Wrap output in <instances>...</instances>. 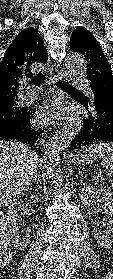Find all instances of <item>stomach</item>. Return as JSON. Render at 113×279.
Instances as JSON below:
<instances>
[{"label":"stomach","instance_id":"0dacf381","mask_svg":"<svg viewBox=\"0 0 113 279\" xmlns=\"http://www.w3.org/2000/svg\"><path fill=\"white\" fill-rule=\"evenodd\" d=\"M75 157L79 164H91L96 157V153L93 151L80 150L76 153Z\"/></svg>","mask_w":113,"mask_h":279}]
</instances>
